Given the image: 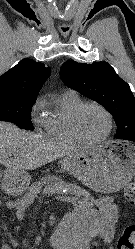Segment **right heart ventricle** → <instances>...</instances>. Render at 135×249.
<instances>
[{
  "label": "right heart ventricle",
  "instance_id": "obj_1",
  "mask_svg": "<svg viewBox=\"0 0 135 249\" xmlns=\"http://www.w3.org/2000/svg\"><path fill=\"white\" fill-rule=\"evenodd\" d=\"M82 103L79 95L72 91L65 92L56 98L51 113L43 122L45 135L65 145L83 144L75 136L71 125L72 115Z\"/></svg>",
  "mask_w": 135,
  "mask_h": 249
}]
</instances>
